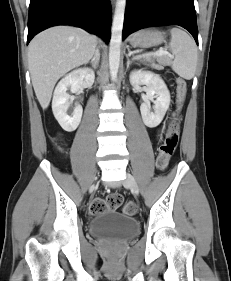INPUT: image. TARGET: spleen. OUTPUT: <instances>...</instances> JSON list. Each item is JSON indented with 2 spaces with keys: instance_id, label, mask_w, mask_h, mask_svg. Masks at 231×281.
<instances>
[{
  "instance_id": "1",
  "label": "spleen",
  "mask_w": 231,
  "mask_h": 281,
  "mask_svg": "<svg viewBox=\"0 0 231 281\" xmlns=\"http://www.w3.org/2000/svg\"><path fill=\"white\" fill-rule=\"evenodd\" d=\"M170 33L169 49L173 53L171 56L173 61L168 58L167 63L180 77L190 80L194 77L198 59L195 41L188 33L179 28H172Z\"/></svg>"
}]
</instances>
